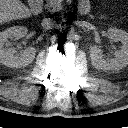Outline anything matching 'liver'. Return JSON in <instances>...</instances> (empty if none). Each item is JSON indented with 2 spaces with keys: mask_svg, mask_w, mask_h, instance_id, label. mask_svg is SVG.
I'll list each match as a JSON object with an SVG mask.
<instances>
[{
  "mask_svg": "<svg viewBox=\"0 0 128 128\" xmlns=\"http://www.w3.org/2000/svg\"><path fill=\"white\" fill-rule=\"evenodd\" d=\"M30 16L31 10L20 0H0V25Z\"/></svg>",
  "mask_w": 128,
  "mask_h": 128,
  "instance_id": "6515ba94",
  "label": "liver"
}]
</instances>
